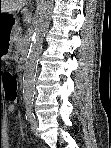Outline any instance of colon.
I'll return each instance as SVG.
<instances>
[{"instance_id": "obj_1", "label": "colon", "mask_w": 111, "mask_h": 148, "mask_svg": "<svg viewBox=\"0 0 111 148\" xmlns=\"http://www.w3.org/2000/svg\"><path fill=\"white\" fill-rule=\"evenodd\" d=\"M0 83L3 85L4 98L15 101L18 93V80L15 74L10 71L0 72Z\"/></svg>"}]
</instances>
